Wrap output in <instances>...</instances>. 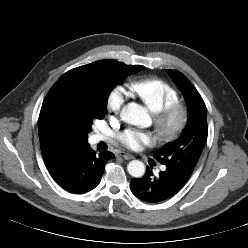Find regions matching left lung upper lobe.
I'll list each match as a JSON object with an SVG mask.
<instances>
[{
  "mask_svg": "<svg viewBox=\"0 0 248 248\" xmlns=\"http://www.w3.org/2000/svg\"><path fill=\"white\" fill-rule=\"evenodd\" d=\"M183 92L188 107V122L182 135L155 153V158L172 170L186 184L192 175L206 144V105L192 83L179 71L167 69Z\"/></svg>",
  "mask_w": 248,
  "mask_h": 248,
  "instance_id": "obj_1",
  "label": "left lung upper lobe"
}]
</instances>
